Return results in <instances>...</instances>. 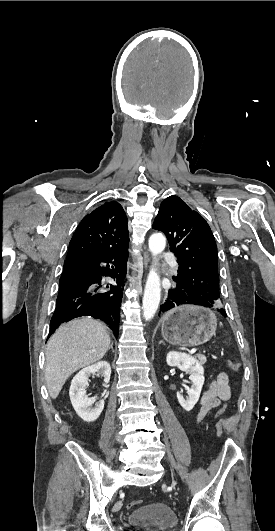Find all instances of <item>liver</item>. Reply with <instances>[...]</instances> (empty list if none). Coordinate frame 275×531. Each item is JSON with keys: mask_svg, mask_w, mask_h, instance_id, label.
<instances>
[{"mask_svg": "<svg viewBox=\"0 0 275 531\" xmlns=\"http://www.w3.org/2000/svg\"><path fill=\"white\" fill-rule=\"evenodd\" d=\"M110 345L106 327L90 317L61 325L46 349L45 381L51 399H57L68 377L103 359Z\"/></svg>", "mask_w": 275, "mask_h": 531, "instance_id": "obj_1", "label": "liver"}]
</instances>
